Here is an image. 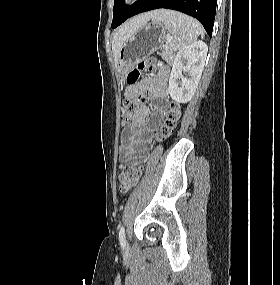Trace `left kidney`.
<instances>
[{"label": "left kidney", "instance_id": "left-kidney-1", "mask_svg": "<svg viewBox=\"0 0 280 285\" xmlns=\"http://www.w3.org/2000/svg\"><path fill=\"white\" fill-rule=\"evenodd\" d=\"M207 51V45L197 41L181 49L175 56L168 88L174 101L187 103L193 97L204 69ZM182 71L186 72L187 76H183Z\"/></svg>", "mask_w": 280, "mask_h": 285}]
</instances>
